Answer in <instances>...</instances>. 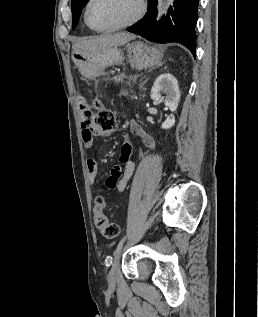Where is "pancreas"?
Here are the masks:
<instances>
[{"label":"pancreas","mask_w":258,"mask_h":317,"mask_svg":"<svg viewBox=\"0 0 258 317\" xmlns=\"http://www.w3.org/2000/svg\"><path fill=\"white\" fill-rule=\"evenodd\" d=\"M134 78H136V76H134ZM116 81H117L118 84H123L125 80H124L123 77H118ZM119 95L120 96H125L126 95V90L125 89H120L119 90Z\"/></svg>","instance_id":"obj_1"}]
</instances>
